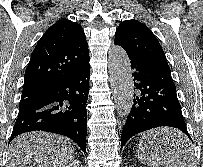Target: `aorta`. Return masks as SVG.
Masks as SVG:
<instances>
[{
    "mask_svg": "<svg viewBox=\"0 0 203 167\" xmlns=\"http://www.w3.org/2000/svg\"><path fill=\"white\" fill-rule=\"evenodd\" d=\"M108 68L115 106L118 114L125 118L133 105V80L128 55L121 46L109 50Z\"/></svg>",
    "mask_w": 203,
    "mask_h": 167,
    "instance_id": "762f6f07",
    "label": "aorta"
}]
</instances>
